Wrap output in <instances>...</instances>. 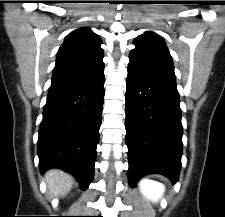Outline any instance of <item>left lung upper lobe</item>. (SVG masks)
<instances>
[{
	"mask_svg": "<svg viewBox=\"0 0 225 217\" xmlns=\"http://www.w3.org/2000/svg\"><path fill=\"white\" fill-rule=\"evenodd\" d=\"M130 52L128 67L146 72H162L175 78L172 57L162 39L153 32L139 35Z\"/></svg>",
	"mask_w": 225,
	"mask_h": 217,
	"instance_id": "obj_1",
	"label": "left lung upper lobe"
}]
</instances>
